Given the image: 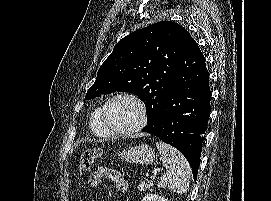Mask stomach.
Segmentation results:
<instances>
[{
    "instance_id": "1",
    "label": "stomach",
    "mask_w": 271,
    "mask_h": 201,
    "mask_svg": "<svg viewBox=\"0 0 271 201\" xmlns=\"http://www.w3.org/2000/svg\"><path fill=\"white\" fill-rule=\"evenodd\" d=\"M117 156L120 160L126 162L149 165L152 164L155 159V151L148 144H142L122 149L117 153Z\"/></svg>"
}]
</instances>
